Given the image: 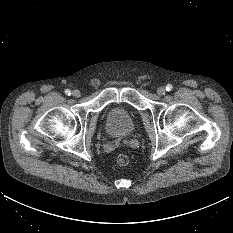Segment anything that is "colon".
Returning <instances> with one entry per match:
<instances>
[{"mask_svg": "<svg viewBox=\"0 0 233 233\" xmlns=\"http://www.w3.org/2000/svg\"><path fill=\"white\" fill-rule=\"evenodd\" d=\"M130 163V157L127 154H119L117 157V164L120 166H126Z\"/></svg>", "mask_w": 233, "mask_h": 233, "instance_id": "1", "label": "colon"}]
</instances>
